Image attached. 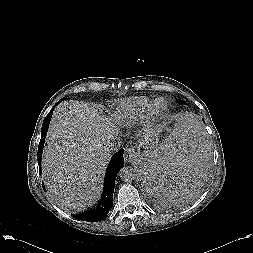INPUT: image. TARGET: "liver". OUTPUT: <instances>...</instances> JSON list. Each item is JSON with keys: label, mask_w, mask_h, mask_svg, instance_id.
<instances>
[{"label": "liver", "mask_w": 253, "mask_h": 253, "mask_svg": "<svg viewBox=\"0 0 253 253\" xmlns=\"http://www.w3.org/2000/svg\"><path fill=\"white\" fill-rule=\"evenodd\" d=\"M118 128L86 102L64 101L54 110L42 157V174L52 200L79 212L101 196L110 160L106 145Z\"/></svg>", "instance_id": "1"}]
</instances>
